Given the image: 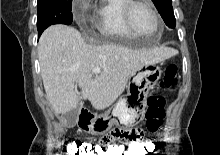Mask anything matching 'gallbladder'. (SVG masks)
Returning <instances> with one entry per match:
<instances>
[{
  "instance_id": "bac80fb5",
  "label": "gallbladder",
  "mask_w": 220,
  "mask_h": 155,
  "mask_svg": "<svg viewBox=\"0 0 220 155\" xmlns=\"http://www.w3.org/2000/svg\"><path fill=\"white\" fill-rule=\"evenodd\" d=\"M78 112H79V106L70 110L69 112H67L64 115V118L70 127H74L76 125L77 118H78Z\"/></svg>"
}]
</instances>
